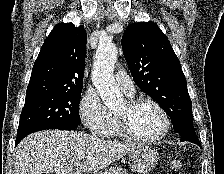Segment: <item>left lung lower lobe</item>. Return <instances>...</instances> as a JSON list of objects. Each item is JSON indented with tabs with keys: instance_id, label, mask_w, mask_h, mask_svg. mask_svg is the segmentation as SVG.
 Segmentation results:
<instances>
[{
	"instance_id": "1",
	"label": "left lung lower lobe",
	"mask_w": 224,
	"mask_h": 174,
	"mask_svg": "<svg viewBox=\"0 0 224 174\" xmlns=\"http://www.w3.org/2000/svg\"><path fill=\"white\" fill-rule=\"evenodd\" d=\"M178 134L181 138V141H190L197 144L198 146H201L194 129L182 130Z\"/></svg>"
}]
</instances>
